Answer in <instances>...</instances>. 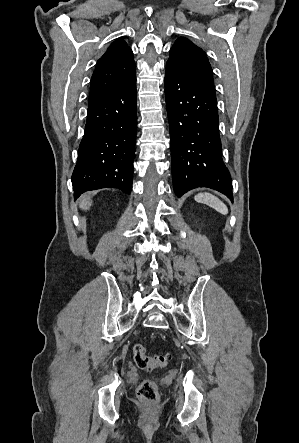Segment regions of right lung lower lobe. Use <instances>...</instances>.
Returning <instances> with one entry per match:
<instances>
[{"label": "right lung lower lobe", "instance_id": "1", "mask_svg": "<svg viewBox=\"0 0 299 443\" xmlns=\"http://www.w3.org/2000/svg\"><path fill=\"white\" fill-rule=\"evenodd\" d=\"M136 113V75L88 105L72 174L75 199L85 191L100 188L131 192Z\"/></svg>", "mask_w": 299, "mask_h": 443}]
</instances>
